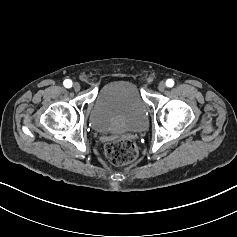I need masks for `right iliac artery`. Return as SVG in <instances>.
Returning a JSON list of instances; mask_svg holds the SVG:
<instances>
[{"label":"right iliac artery","instance_id":"obj_1","mask_svg":"<svg viewBox=\"0 0 237 237\" xmlns=\"http://www.w3.org/2000/svg\"><path fill=\"white\" fill-rule=\"evenodd\" d=\"M63 84L66 88L72 87V81L70 79L64 80Z\"/></svg>","mask_w":237,"mask_h":237}]
</instances>
